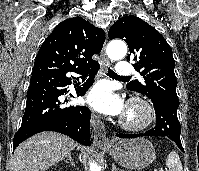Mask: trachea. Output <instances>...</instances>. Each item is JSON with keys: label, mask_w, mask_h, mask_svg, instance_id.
<instances>
[{"label": "trachea", "mask_w": 199, "mask_h": 171, "mask_svg": "<svg viewBox=\"0 0 199 171\" xmlns=\"http://www.w3.org/2000/svg\"><path fill=\"white\" fill-rule=\"evenodd\" d=\"M109 76H114V77H122V78H128V77H123V76H119L117 75L113 70H111L110 68H108V73Z\"/></svg>", "instance_id": "trachea-1"}]
</instances>
